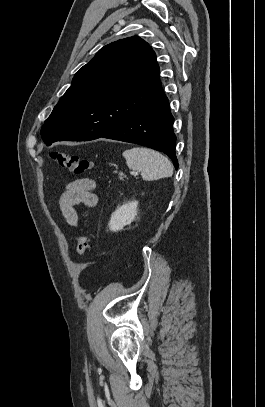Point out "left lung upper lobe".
<instances>
[{
	"instance_id": "1",
	"label": "left lung upper lobe",
	"mask_w": 265,
	"mask_h": 407,
	"mask_svg": "<svg viewBox=\"0 0 265 407\" xmlns=\"http://www.w3.org/2000/svg\"><path fill=\"white\" fill-rule=\"evenodd\" d=\"M164 94L155 52L138 36L112 42L74 76L41 129L55 141L100 138Z\"/></svg>"
}]
</instances>
